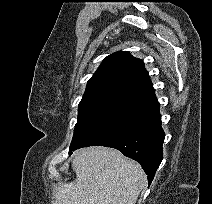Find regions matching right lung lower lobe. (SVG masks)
<instances>
[{
	"mask_svg": "<svg viewBox=\"0 0 212 204\" xmlns=\"http://www.w3.org/2000/svg\"><path fill=\"white\" fill-rule=\"evenodd\" d=\"M164 137L159 102L154 99L124 127L90 146L112 147L136 160L148 175L150 185L163 159Z\"/></svg>",
	"mask_w": 212,
	"mask_h": 204,
	"instance_id": "98d812e1",
	"label": "right lung lower lobe"
}]
</instances>
